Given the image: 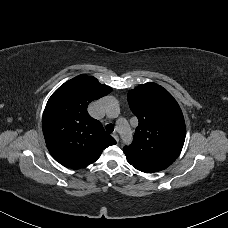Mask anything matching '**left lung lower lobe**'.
<instances>
[{
  "mask_svg": "<svg viewBox=\"0 0 228 228\" xmlns=\"http://www.w3.org/2000/svg\"><path fill=\"white\" fill-rule=\"evenodd\" d=\"M129 162V161H128ZM130 163V162H129ZM131 164V163H130ZM133 165V164H131ZM136 169L142 171V172H145V173H153L155 171L151 170V169H148V168H144V167H140V166H136V165H133Z\"/></svg>",
  "mask_w": 228,
  "mask_h": 228,
  "instance_id": "obj_1",
  "label": "left lung lower lobe"
}]
</instances>
